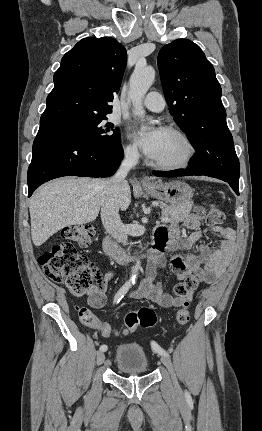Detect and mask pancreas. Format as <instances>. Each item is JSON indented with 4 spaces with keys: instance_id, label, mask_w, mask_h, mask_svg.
Listing matches in <instances>:
<instances>
[{
    "instance_id": "1",
    "label": "pancreas",
    "mask_w": 262,
    "mask_h": 431,
    "mask_svg": "<svg viewBox=\"0 0 262 431\" xmlns=\"http://www.w3.org/2000/svg\"><path fill=\"white\" fill-rule=\"evenodd\" d=\"M160 208L162 209V214L169 218L170 223H178L184 221L191 210V205L168 206L160 203Z\"/></svg>"
}]
</instances>
